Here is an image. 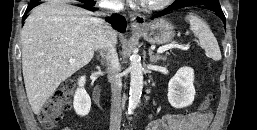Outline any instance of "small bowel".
<instances>
[{"mask_svg": "<svg viewBox=\"0 0 257 130\" xmlns=\"http://www.w3.org/2000/svg\"><path fill=\"white\" fill-rule=\"evenodd\" d=\"M212 118L210 112L199 114L168 113L160 117H152L147 130H205Z\"/></svg>", "mask_w": 257, "mask_h": 130, "instance_id": "1", "label": "small bowel"}]
</instances>
